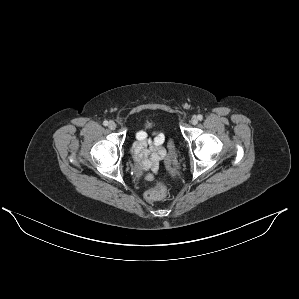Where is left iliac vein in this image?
<instances>
[{"label": "left iliac vein", "mask_w": 299, "mask_h": 299, "mask_svg": "<svg viewBox=\"0 0 299 299\" xmlns=\"http://www.w3.org/2000/svg\"><path fill=\"white\" fill-rule=\"evenodd\" d=\"M191 123H192L193 125H196V124L198 123V117H197V116H193V117L191 118Z\"/></svg>", "instance_id": "4c4485c4"}]
</instances>
